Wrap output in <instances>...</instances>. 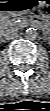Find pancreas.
Returning a JSON list of instances; mask_svg holds the SVG:
<instances>
[{"label": "pancreas", "instance_id": "cf45deb5", "mask_svg": "<svg viewBox=\"0 0 50 111\" xmlns=\"http://www.w3.org/2000/svg\"><path fill=\"white\" fill-rule=\"evenodd\" d=\"M24 22H21V23H16V21L14 19H11V20H7V21H3L2 22V26L4 28H8V27H19L21 25H23Z\"/></svg>", "mask_w": 50, "mask_h": 111}]
</instances>
